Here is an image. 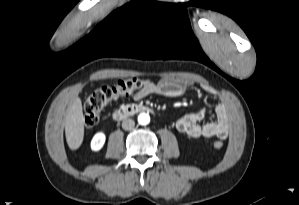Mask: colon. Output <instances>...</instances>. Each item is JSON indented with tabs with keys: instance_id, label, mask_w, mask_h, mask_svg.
Here are the masks:
<instances>
[{
	"instance_id": "obj_1",
	"label": "colon",
	"mask_w": 299,
	"mask_h": 205,
	"mask_svg": "<svg viewBox=\"0 0 299 205\" xmlns=\"http://www.w3.org/2000/svg\"><path fill=\"white\" fill-rule=\"evenodd\" d=\"M143 80L139 78H125L119 80L114 86H103L94 90L84 104V124L92 128L98 124L101 110L110 103L125 98L139 91L143 87ZM214 148L221 149L223 142L217 140Z\"/></svg>"
}]
</instances>
